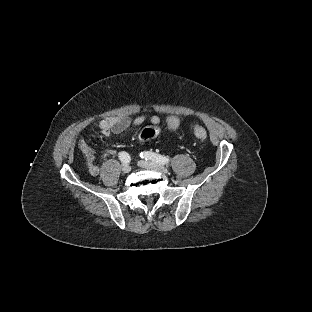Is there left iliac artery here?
Masks as SVG:
<instances>
[{"instance_id":"44dca946","label":"left iliac artery","mask_w":312,"mask_h":312,"mask_svg":"<svg viewBox=\"0 0 312 312\" xmlns=\"http://www.w3.org/2000/svg\"><path fill=\"white\" fill-rule=\"evenodd\" d=\"M140 157L145 158L146 160H152L156 163L159 164H168L170 162V158L160 155V154H156L154 152H141L140 153Z\"/></svg>"}]
</instances>
